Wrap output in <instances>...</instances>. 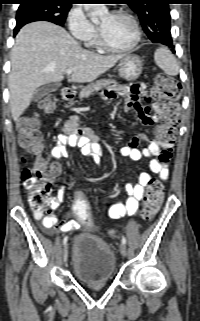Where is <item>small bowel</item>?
<instances>
[{"mask_svg": "<svg viewBox=\"0 0 200 321\" xmlns=\"http://www.w3.org/2000/svg\"><path fill=\"white\" fill-rule=\"evenodd\" d=\"M146 85L142 82H133L131 86L123 88H112L106 92V97L114 99L118 96L125 97L127 107L136 111L139 120L144 126H152L165 116L163 104L158 101L149 100L147 105L140 102L141 96H146ZM156 135V129L154 131ZM157 137V135H156ZM98 135L90 128H76L75 121H70L65 126L62 133L56 137L55 145L50 152V157L56 161L64 158L63 148L67 146L79 147L85 156H96L101 150L97 143ZM139 142H144L146 146L142 149L138 148ZM42 148V144H41ZM166 145L158 138L151 139L146 134L141 133L133 138L126 146L120 149L122 156L128 157L133 161H138L142 158H150L149 168L153 174H157L161 181H166L169 177L168 162L170 159H165ZM47 157V155H46ZM48 158V157H47ZM55 167V175L51 178L52 182L57 178L61 171V165L58 162L52 163ZM153 181L150 173L142 172L139 174L137 181L130 182L126 185L127 199L125 203H116L108 208V216L112 219H119L124 216L134 215L139 203L144 197L145 189ZM65 188H59L53 196L48 199V206L52 210L60 207L64 197ZM58 220L54 214H48L42 219V225L45 231L53 234L55 231L62 232L78 229L80 224L75 220H68L58 227Z\"/></svg>", "mask_w": 200, "mask_h": 321, "instance_id": "small-bowel-1", "label": "small bowel"}]
</instances>
